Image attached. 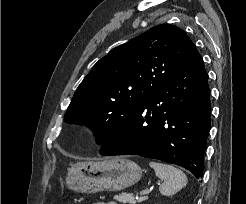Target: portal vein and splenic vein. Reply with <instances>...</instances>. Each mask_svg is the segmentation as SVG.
Segmentation results:
<instances>
[{
    "mask_svg": "<svg viewBox=\"0 0 246 204\" xmlns=\"http://www.w3.org/2000/svg\"><path fill=\"white\" fill-rule=\"evenodd\" d=\"M150 191H151L150 189L143 190L140 192V195H147L149 194Z\"/></svg>",
    "mask_w": 246,
    "mask_h": 204,
    "instance_id": "1",
    "label": "portal vein and splenic vein"
}]
</instances>
